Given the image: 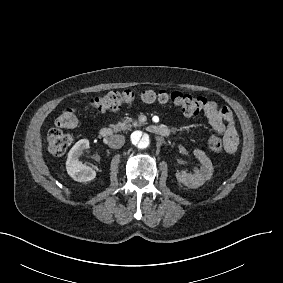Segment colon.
<instances>
[{
	"instance_id": "colon-1",
	"label": "colon",
	"mask_w": 283,
	"mask_h": 283,
	"mask_svg": "<svg viewBox=\"0 0 283 283\" xmlns=\"http://www.w3.org/2000/svg\"><path fill=\"white\" fill-rule=\"evenodd\" d=\"M136 94L131 90L110 91L91 101V105L98 112L115 111L122 105H132ZM140 100L144 103L172 104L186 116H196L204 109L207 99L204 96H193L181 92L169 93L166 91L147 90L140 94ZM80 124L77 110L73 106L64 107L56 121L57 128L52 129L46 137L45 149L51 154H62L72 144V137L64 131L68 128H76ZM209 148L213 152L224 150V143L220 135H214L209 139Z\"/></svg>"
}]
</instances>
